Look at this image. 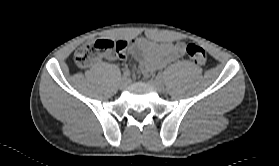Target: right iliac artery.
Instances as JSON below:
<instances>
[{"instance_id":"right-iliac-artery-1","label":"right iliac artery","mask_w":279,"mask_h":166,"mask_svg":"<svg viewBox=\"0 0 279 166\" xmlns=\"http://www.w3.org/2000/svg\"><path fill=\"white\" fill-rule=\"evenodd\" d=\"M130 71L129 70H125L124 72H123V77L124 78H128L129 76H130Z\"/></svg>"}]
</instances>
